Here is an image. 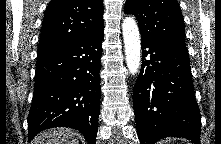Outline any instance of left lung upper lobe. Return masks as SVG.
<instances>
[{"label": "left lung upper lobe", "instance_id": "left-lung-upper-lobe-1", "mask_svg": "<svg viewBox=\"0 0 221 144\" xmlns=\"http://www.w3.org/2000/svg\"><path fill=\"white\" fill-rule=\"evenodd\" d=\"M124 12L137 18L141 37L187 49L184 20L177 0H127Z\"/></svg>", "mask_w": 221, "mask_h": 144}]
</instances>
